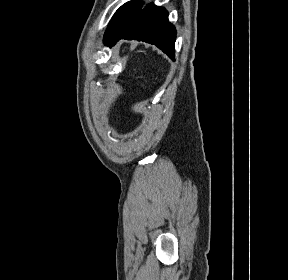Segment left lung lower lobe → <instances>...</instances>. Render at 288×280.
<instances>
[{
  "instance_id": "obj_1",
  "label": "left lung lower lobe",
  "mask_w": 288,
  "mask_h": 280,
  "mask_svg": "<svg viewBox=\"0 0 288 280\" xmlns=\"http://www.w3.org/2000/svg\"><path fill=\"white\" fill-rule=\"evenodd\" d=\"M176 30L168 21V13L162 8L149 3L134 12L120 31L106 43L113 46L120 39L145 41L156 45L172 60L174 59V43Z\"/></svg>"
}]
</instances>
